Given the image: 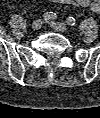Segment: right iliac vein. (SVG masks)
I'll list each match as a JSON object with an SVG mask.
<instances>
[{
  "label": "right iliac vein",
  "instance_id": "obj_1",
  "mask_svg": "<svg viewBox=\"0 0 100 118\" xmlns=\"http://www.w3.org/2000/svg\"><path fill=\"white\" fill-rule=\"evenodd\" d=\"M42 24H43V23H42V20L37 19V20H35V21L32 23L31 28H32L34 31H37V30L41 29Z\"/></svg>",
  "mask_w": 100,
  "mask_h": 118
}]
</instances>
